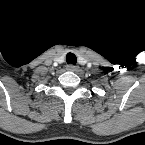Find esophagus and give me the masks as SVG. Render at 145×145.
<instances>
[{"mask_svg":"<svg viewBox=\"0 0 145 145\" xmlns=\"http://www.w3.org/2000/svg\"><path fill=\"white\" fill-rule=\"evenodd\" d=\"M66 68H67L68 71H76L78 69L77 66H74L72 64L67 65Z\"/></svg>","mask_w":145,"mask_h":145,"instance_id":"34e87169","label":"esophagus"}]
</instances>
